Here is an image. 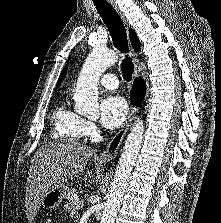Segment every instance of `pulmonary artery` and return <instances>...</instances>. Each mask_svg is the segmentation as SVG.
Wrapping results in <instances>:
<instances>
[{"label": "pulmonary artery", "mask_w": 221, "mask_h": 223, "mask_svg": "<svg viewBox=\"0 0 221 223\" xmlns=\"http://www.w3.org/2000/svg\"><path fill=\"white\" fill-rule=\"evenodd\" d=\"M100 84L107 89H116L118 87V80L114 74L106 73L101 76Z\"/></svg>", "instance_id": "1"}]
</instances>
